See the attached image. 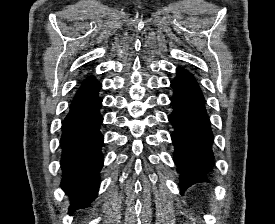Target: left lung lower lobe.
Wrapping results in <instances>:
<instances>
[{
	"instance_id": "1",
	"label": "left lung lower lobe",
	"mask_w": 275,
	"mask_h": 224,
	"mask_svg": "<svg viewBox=\"0 0 275 224\" xmlns=\"http://www.w3.org/2000/svg\"><path fill=\"white\" fill-rule=\"evenodd\" d=\"M171 87L173 112L168 119L174 128V162L181 173L179 185L184 193L192 184L205 181L212 171L213 133L202 91L194 77L179 68Z\"/></svg>"
}]
</instances>
